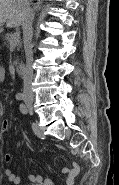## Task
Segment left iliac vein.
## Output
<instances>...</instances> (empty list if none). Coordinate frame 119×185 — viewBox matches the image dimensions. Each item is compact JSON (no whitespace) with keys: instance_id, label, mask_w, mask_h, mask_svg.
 Masks as SVG:
<instances>
[{"instance_id":"1","label":"left iliac vein","mask_w":119,"mask_h":185,"mask_svg":"<svg viewBox=\"0 0 119 185\" xmlns=\"http://www.w3.org/2000/svg\"><path fill=\"white\" fill-rule=\"evenodd\" d=\"M27 111H28L29 114H33V107H32L31 103L27 104Z\"/></svg>"}]
</instances>
